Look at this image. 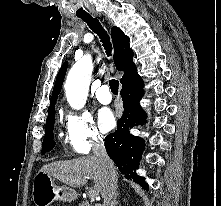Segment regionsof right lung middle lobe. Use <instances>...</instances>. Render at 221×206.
Segmentation results:
<instances>
[{"label": "right lung middle lobe", "mask_w": 221, "mask_h": 206, "mask_svg": "<svg viewBox=\"0 0 221 206\" xmlns=\"http://www.w3.org/2000/svg\"><path fill=\"white\" fill-rule=\"evenodd\" d=\"M54 122H55V109H53L48 114L46 129H45V137L42 145V153L48 152L49 150L53 149V147L55 146V141L53 140Z\"/></svg>", "instance_id": "obj_1"}]
</instances>
